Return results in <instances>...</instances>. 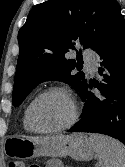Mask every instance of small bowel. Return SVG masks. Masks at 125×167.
<instances>
[{
	"label": "small bowel",
	"mask_w": 125,
	"mask_h": 167,
	"mask_svg": "<svg viewBox=\"0 0 125 167\" xmlns=\"http://www.w3.org/2000/svg\"><path fill=\"white\" fill-rule=\"evenodd\" d=\"M43 167H58L56 160H49Z\"/></svg>",
	"instance_id": "obj_1"
}]
</instances>
